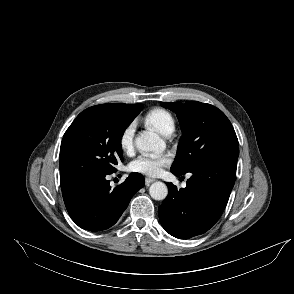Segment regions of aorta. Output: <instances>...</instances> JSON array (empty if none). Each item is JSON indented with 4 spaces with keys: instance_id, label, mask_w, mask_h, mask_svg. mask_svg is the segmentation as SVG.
Masks as SVG:
<instances>
[{
    "instance_id": "762f6f07",
    "label": "aorta",
    "mask_w": 294,
    "mask_h": 294,
    "mask_svg": "<svg viewBox=\"0 0 294 294\" xmlns=\"http://www.w3.org/2000/svg\"><path fill=\"white\" fill-rule=\"evenodd\" d=\"M162 139L154 132H143L135 140L138 150L152 152L158 149ZM150 196L155 200H164L168 195V188L165 183L157 181L149 188Z\"/></svg>"
}]
</instances>
